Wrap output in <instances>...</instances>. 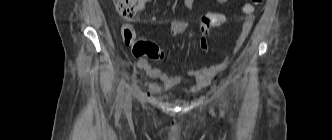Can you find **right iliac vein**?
Returning <instances> with one entry per match:
<instances>
[{"instance_id":"obj_1","label":"right iliac vein","mask_w":332,"mask_h":140,"mask_svg":"<svg viewBox=\"0 0 332 140\" xmlns=\"http://www.w3.org/2000/svg\"><path fill=\"white\" fill-rule=\"evenodd\" d=\"M131 108V95L127 92L124 96V110L129 111Z\"/></svg>"}]
</instances>
